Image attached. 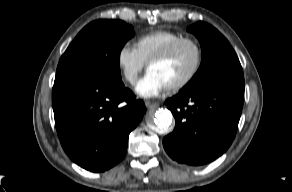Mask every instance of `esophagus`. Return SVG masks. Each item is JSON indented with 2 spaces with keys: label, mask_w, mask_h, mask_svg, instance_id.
Here are the masks:
<instances>
[{
  "label": "esophagus",
  "mask_w": 292,
  "mask_h": 192,
  "mask_svg": "<svg viewBox=\"0 0 292 192\" xmlns=\"http://www.w3.org/2000/svg\"><path fill=\"white\" fill-rule=\"evenodd\" d=\"M145 106L148 109H156L158 107V103L157 102L146 101L145 102Z\"/></svg>",
  "instance_id": "obj_1"
}]
</instances>
